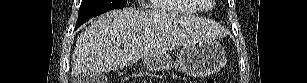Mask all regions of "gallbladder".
Wrapping results in <instances>:
<instances>
[{
	"mask_svg": "<svg viewBox=\"0 0 307 83\" xmlns=\"http://www.w3.org/2000/svg\"><path fill=\"white\" fill-rule=\"evenodd\" d=\"M106 76L104 73L90 72L82 77L81 83H104Z\"/></svg>",
	"mask_w": 307,
	"mask_h": 83,
	"instance_id": "obj_1",
	"label": "gallbladder"
}]
</instances>
